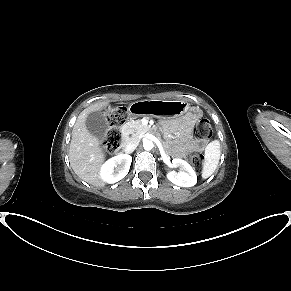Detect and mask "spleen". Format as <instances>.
Instances as JSON below:
<instances>
[{
	"label": "spleen",
	"mask_w": 291,
	"mask_h": 291,
	"mask_svg": "<svg viewBox=\"0 0 291 291\" xmlns=\"http://www.w3.org/2000/svg\"><path fill=\"white\" fill-rule=\"evenodd\" d=\"M220 143L218 140L210 142L205 148L202 178L210 177L218 166L220 159Z\"/></svg>",
	"instance_id": "3e777b00"
}]
</instances>
